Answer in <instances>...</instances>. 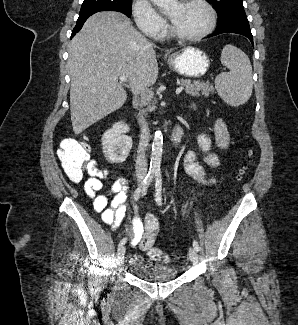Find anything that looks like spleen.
I'll list each match as a JSON object with an SVG mask.
<instances>
[{
	"mask_svg": "<svg viewBox=\"0 0 298 325\" xmlns=\"http://www.w3.org/2000/svg\"><path fill=\"white\" fill-rule=\"evenodd\" d=\"M221 62L230 72H220L215 78V88L219 96L230 106L245 104L253 90L252 64L249 56L241 48L225 44L221 52Z\"/></svg>",
	"mask_w": 298,
	"mask_h": 325,
	"instance_id": "spleen-1",
	"label": "spleen"
}]
</instances>
